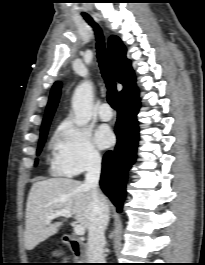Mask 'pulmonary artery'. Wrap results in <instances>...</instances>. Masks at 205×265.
<instances>
[{"label":"pulmonary artery","mask_w":205,"mask_h":265,"mask_svg":"<svg viewBox=\"0 0 205 265\" xmlns=\"http://www.w3.org/2000/svg\"><path fill=\"white\" fill-rule=\"evenodd\" d=\"M98 114L100 119L103 121H109L113 117V113L111 110V107L109 106L108 103H102L98 109Z\"/></svg>","instance_id":"e3ab8cb5"}]
</instances>
